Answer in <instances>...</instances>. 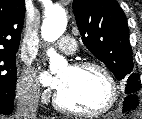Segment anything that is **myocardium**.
<instances>
[{"mask_svg": "<svg viewBox=\"0 0 142 119\" xmlns=\"http://www.w3.org/2000/svg\"><path fill=\"white\" fill-rule=\"evenodd\" d=\"M70 67L77 71L86 70V69H95L98 70L100 73H102L109 85V97L105 105L97 110L80 111L64 105L60 100L59 93L57 92L54 95L53 104L58 110L75 116L98 117L106 114L116 105L119 96L118 84L114 76L107 67L94 61H78L73 63Z\"/></svg>", "mask_w": 142, "mask_h": 119, "instance_id": "f54148a6", "label": "myocardium"}]
</instances>
